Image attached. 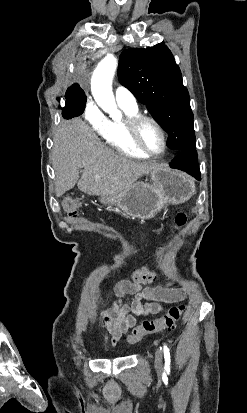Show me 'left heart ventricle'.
Wrapping results in <instances>:
<instances>
[{"mask_svg":"<svg viewBox=\"0 0 247 413\" xmlns=\"http://www.w3.org/2000/svg\"><path fill=\"white\" fill-rule=\"evenodd\" d=\"M141 143L150 151L159 153L163 149V138L161 133L153 125L144 122L139 129Z\"/></svg>","mask_w":247,"mask_h":413,"instance_id":"1","label":"left heart ventricle"}]
</instances>
